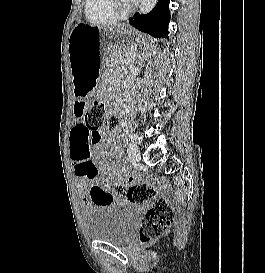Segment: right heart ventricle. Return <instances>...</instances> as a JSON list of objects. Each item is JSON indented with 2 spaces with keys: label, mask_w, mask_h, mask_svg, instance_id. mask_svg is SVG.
Returning <instances> with one entry per match:
<instances>
[{
  "label": "right heart ventricle",
  "mask_w": 265,
  "mask_h": 273,
  "mask_svg": "<svg viewBox=\"0 0 265 273\" xmlns=\"http://www.w3.org/2000/svg\"><path fill=\"white\" fill-rule=\"evenodd\" d=\"M84 12L87 20L96 25L112 24L119 19L110 10L107 0H85Z\"/></svg>",
  "instance_id": "1"
}]
</instances>
